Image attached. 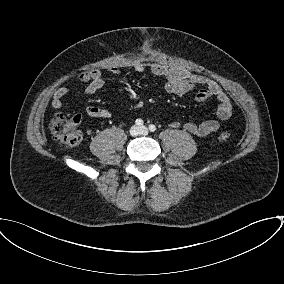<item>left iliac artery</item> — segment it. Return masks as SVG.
<instances>
[{
  "label": "left iliac artery",
  "instance_id": "left-iliac-artery-1",
  "mask_svg": "<svg viewBox=\"0 0 284 284\" xmlns=\"http://www.w3.org/2000/svg\"><path fill=\"white\" fill-rule=\"evenodd\" d=\"M149 130H150L151 132H154V131L156 130V126L153 125V124L149 125Z\"/></svg>",
  "mask_w": 284,
  "mask_h": 284
}]
</instances>
